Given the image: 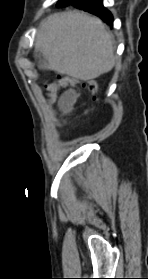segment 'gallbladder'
I'll use <instances>...</instances> for the list:
<instances>
[{"mask_svg": "<svg viewBox=\"0 0 148 279\" xmlns=\"http://www.w3.org/2000/svg\"><path fill=\"white\" fill-rule=\"evenodd\" d=\"M35 58L37 59V64L39 69L46 70L48 65V59L44 56L41 51L35 53Z\"/></svg>", "mask_w": 148, "mask_h": 279, "instance_id": "obj_1", "label": "gallbladder"}]
</instances>
